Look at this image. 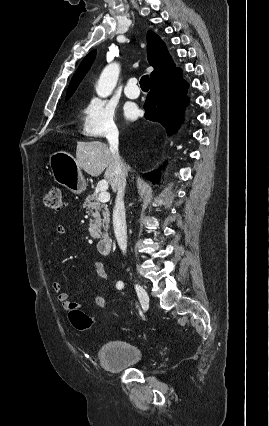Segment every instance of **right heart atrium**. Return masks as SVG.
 I'll return each instance as SVG.
<instances>
[{"mask_svg": "<svg viewBox=\"0 0 269 426\" xmlns=\"http://www.w3.org/2000/svg\"><path fill=\"white\" fill-rule=\"evenodd\" d=\"M80 132L90 138L116 135L118 127L114 106L103 98L88 99L81 108Z\"/></svg>", "mask_w": 269, "mask_h": 426, "instance_id": "d8ad5b80", "label": "right heart atrium"}]
</instances>
